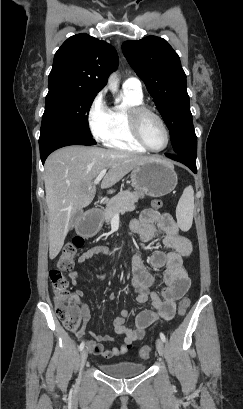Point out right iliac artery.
I'll return each instance as SVG.
<instances>
[{
	"instance_id": "obj_1",
	"label": "right iliac artery",
	"mask_w": 243,
	"mask_h": 409,
	"mask_svg": "<svg viewBox=\"0 0 243 409\" xmlns=\"http://www.w3.org/2000/svg\"><path fill=\"white\" fill-rule=\"evenodd\" d=\"M84 346H85V344H84V342H82V343L80 344V346H79V350L82 351V350L84 349Z\"/></svg>"
}]
</instances>
